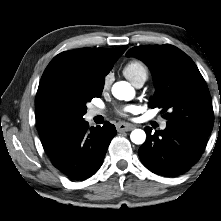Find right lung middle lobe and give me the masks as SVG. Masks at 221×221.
<instances>
[{
	"mask_svg": "<svg viewBox=\"0 0 221 221\" xmlns=\"http://www.w3.org/2000/svg\"><path fill=\"white\" fill-rule=\"evenodd\" d=\"M104 82L93 84L84 69L54 78L38 89L36 107L44 122L58 133H69L84 119L86 103L102 94Z\"/></svg>",
	"mask_w": 221,
	"mask_h": 221,
	"instance_id": "obj_1",
	"label": "right lung middle lobe"
}]
</instances>
